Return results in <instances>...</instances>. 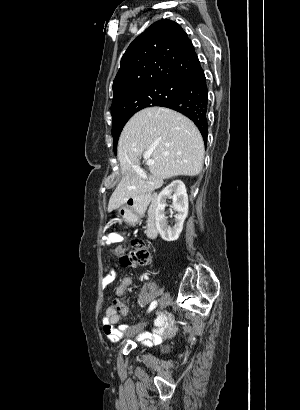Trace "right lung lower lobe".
<instances>
[{"label": "right lung lower lobe", "mask_w": 300, "mask_h": 410, "mask_svg": "<svg viewBox=\"0 0 300 410\" xmlns=\"http://www.w3.org/2000/svg\"><path fill=\"white\" fill-rule=\"evenodd\" d=\"M161 106L176 110L190 118L207 141L208 88L203 69L200 67L185 82L181 90Z\"/></svg>", "instance_id": "1"}]
</instances>
